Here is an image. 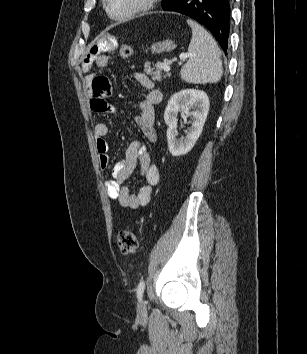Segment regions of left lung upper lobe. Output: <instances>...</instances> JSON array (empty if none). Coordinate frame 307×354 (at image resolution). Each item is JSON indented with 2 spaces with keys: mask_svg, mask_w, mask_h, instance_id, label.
Here are the masks:
<instances>
[{
  "mask_svg": "<svg viewBox=\"0 0 307 354\" xmlns=\"http://www.w3.org/2000/svg\"><path fill=\"white\" fill-rule=\"evenodd\" d=\"M171 0H162V8H164Z\"/></svg>",
  "mask_w": 307,
  "mask_h": 354,
  "instance_id": "left-lung-upper-lobe-1",
  "label": "left lung upper lobe"
}]
</instances>
